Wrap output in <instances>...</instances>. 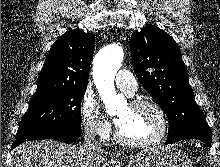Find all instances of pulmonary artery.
Instances as JSON below:
<instances>
[{"mask_svg":"<svg viewBox=\"0 0 220 167\" xmlns=\"http://www.w3.org/2000/svg\"><path fill=\"white\" fill-rule=\"evenodd\" d=\"M115 83L125 94L131 96L138 88L136 78L127 70L121 69L115 76Z\"/></svg>","mask_w":220,"mask_h":167,"instance_id":"obj_1","label":"pulmonary artery"}]
</instances>
